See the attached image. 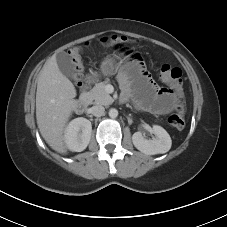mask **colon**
I'll return each instance as SVG.
<instances>
[{
    "mask_svg": "<svg viewBox=\"0 0 227 227\" xmlns=\"http://www.w3.org/2000/svg\"><path fill=\"white\" fill-rule=\"evenodd\" d=\"M108 45L114 46L116 49L123 50L127 39L123 36H110L102 40ZM70 56L73 60L75 67L78 69L80 66L79 48L70 50ZM160 77L163 82L168 84L176 97V111L168 118V123L171 127L181 130L185 126V104L183 94L182 71L169 64H163L160 69Z\"/></svg>",
    "mask_w": 227,
    "mask_h": 227,
    "instance_id": "colon-1",
    "label": "colon"
}]
</instances>
